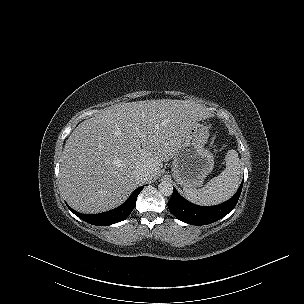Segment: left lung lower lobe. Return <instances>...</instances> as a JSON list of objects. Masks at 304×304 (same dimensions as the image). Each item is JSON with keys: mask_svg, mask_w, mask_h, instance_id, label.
<instances>
[{"mask_svg": "<svg viewBox=\"0 0 304 304\" xmlns=\"http://www.w3.org/2000/svg\"><path fill=\"white\" fill-rule=\"evenodd\" d=\"M243 187V181L236 194L228 201L211 207L194 205L181 197L174 188L168 201V208L174 216L191 225L211 224L230 213L236 206Z\"/></svg>", "mask_w": 304, "mask_h": 304, "instance_id": "left-lung-lower-lobe-1", "label": "left lung lower lobe"}]
</instances>
